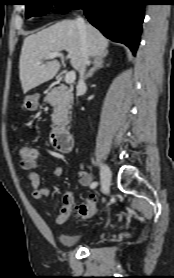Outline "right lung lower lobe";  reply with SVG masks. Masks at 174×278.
<instances>
[{"label":"right lung lower lobe","instance_id":"98d812e1","mask_svg":"<svg viewBox=\"0 0 174 278\" xmlns=\"http://www.w3.org/2000/svg\"><path fill=\"white\" fill-rule=\"evenodd\" d=\"M144 0H79L89 22L107 38L125 44L135 53L144 19Z\"/></svg>","mask_w":174,"mask_h":278}]
</instances>
